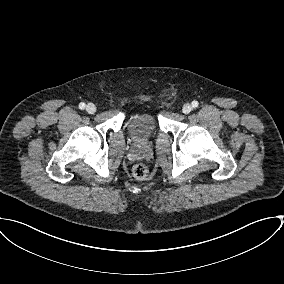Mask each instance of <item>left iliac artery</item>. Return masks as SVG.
I'll return each instance as SVG.
<instances>
[{
	"instance_id": "left-iliac-artery-1",
	"label": "left iliac artery",
	"mask_w": 284,
	"mask_h": 284,
	"mask_svg": "<svg viewBox=\"0 0 284 284\" xmlns=\"http://www.w3.org/2000/svg\"><path fill=\"white\" fill-rule=\"evenodd\" d=\"M192 107H194V108H196V107H198V105H199V103L197 102V101H192Z\"/></svg>"
}]
</instances>
